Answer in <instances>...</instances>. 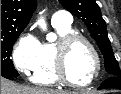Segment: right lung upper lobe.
Segmentation results:
<instances>
[{"label":"right lung upper lobe","instance_id":"right-lung-upper-lobe-1","mask_svg":"<svg viewBox=\"0 0 121 94\" xmlns=\"http://www.w3.org/2000/svg\"><path fill=\"white\" fill-rule=\"evenodd\" d=\"M36 6V0H1V33L24 30Z\"/></svg>","mask_w":121,"mask_h":94}]
</instances>
